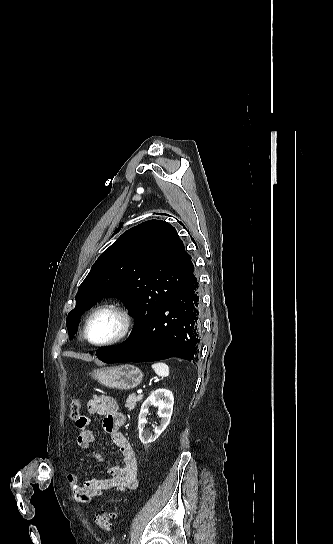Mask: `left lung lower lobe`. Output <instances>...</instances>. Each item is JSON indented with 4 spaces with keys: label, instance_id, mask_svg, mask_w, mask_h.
Returning a JSON list of instances; mask_svg holds the SVG:
<instances>
[{
    "label": "left lung lower lobe",
    "instance_id": "0a47b994",
    "mask_svg": "<svg viewBox=\"0 0 333 544\" xmlns=\"http://www.w3.org/2000/svg\"><path fill=\"white\" fill-rule=\"evenodd\" d=\"M202 331L200 285L194 271L181 289L155 315L134 326L122 344L98 350L106 363L158 361L179 357L197 359Z\"/></svg>",
    "mask_w": 333,
    "mask_h": 544
}]
</instances>
